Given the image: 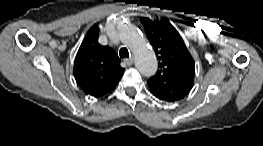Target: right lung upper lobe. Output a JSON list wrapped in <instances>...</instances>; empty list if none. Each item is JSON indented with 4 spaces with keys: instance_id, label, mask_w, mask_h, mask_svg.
<instances>
[{
    "instance_id": "cb5924a9",
    "label": "right lung upper lobe",
    "mask_w": 263,
    "mask_h": 146,
    "mask_svg": "<svg viewBox=\"0 0 263 146\" xmlns=\"http://www.w3.org/2000/svg\"><path fill=\"white\" fill-rule=\"evenodd\" d=\"M99 28L93 25L75 58L74 77L86 94L100 97L118 84L124 69L116 52L98 43Z\"/></svg>"
}]
</instances>
